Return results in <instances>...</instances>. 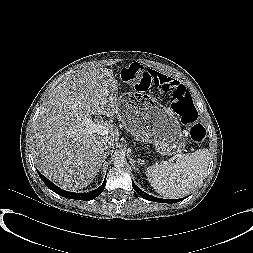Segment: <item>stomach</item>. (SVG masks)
<instances>
[{
	"mask_svg": "<svg viewBox=\"0 0 253 253\" xmlns=\"http://www.w3.org/2000/svg\"><path fill=\"white\" fill-rule=\"evenodd\" d=\"M118 119L137 140L151 143L164 155L180 153L185 145L180 123L170 108L144 94L124 93L118 98Z\"/></svg>",
	"mask_w": 253,
	"mask_h": 253,
	"instance_id": "stomach-1",
	"label": "stomach"
}]
</instances>
